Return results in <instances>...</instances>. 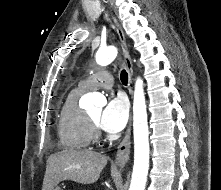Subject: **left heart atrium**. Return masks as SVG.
Listing matches in <instances>:
<instances>
[{"label": "left heart atrium", "mask_w": 221, "mask_h": 190, "mask_svg": "<svg viewBox=\"0 0 221 190\" xmlns=\"http://www.w3.org/2000/svg\"><path fill=\"white\" fill-rule=\"evenodd\" d=\"M128 116L127 100L122 96L112 97L101 113L99 125L106 132L117 133L125 127Z\"/></svg>", "instance_id": "39dd6f15"}]
</instances>
